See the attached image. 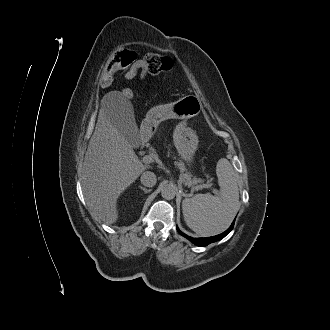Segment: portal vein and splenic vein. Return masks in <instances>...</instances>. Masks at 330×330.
Wrapping results in <instances>:
<instances>
[{
    "label": "portal vein and splenic vein",
    "mask_w": 330,
    "mask_h": 330,
    "mask_svg": "<svg viewBox=\"0 0 330 330\" xmlns=\"http://www.w3.org/2000/svg\"><path fill=\"white\" fill-rule=\"evenodd\" d=\"M142 161L146 164H150L154 161V158L151 155H145L142 158ZM211 186H212L211 184H202V185H198L195 189L198 190V189H202V188H211ZM214 192L216 193L217 190L214 189Z\"/></svg>",
    "instance_id": "portal-vein-and-splenic-vein-1"
}]
</instances>
